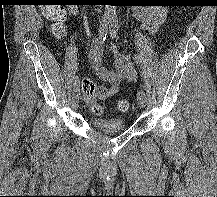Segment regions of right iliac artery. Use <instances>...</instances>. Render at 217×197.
<instances>
[{
  "instance_id": "obj_1",
  "label": "right iliac artery",
  "mask_w": 217,
  "mask_h": 197,
  "mask_svg": "<svg viewBox=\"0 0 217 197\" xmlns=\"http://www.w3.org/2000/svg\"><path fill=\"white\" fill-rule=\"evenodd\" d=\"M109 22L103 21L99 29V38L102 42L106 40ZM79 97V79L75 80L73 88V98Z\"/></svg>"
}]
</instances>
